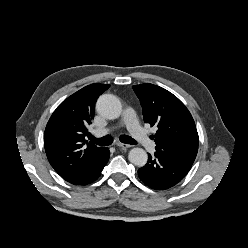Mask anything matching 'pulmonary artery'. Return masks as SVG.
Returning a JSON list of instances; mask_svg holds the SVG:
<instances>
[{
	"mask_svg": "<svg viewBox=\"0 0 248 248\" xmlns=\"http://www.w3.org/2000/svg\"><path fill=\"white\" fill-rule=\"evenodd\" d=\"M123 123L128 128L132 137L150 153L155 151V143L148 137L145 130L139 125L136 119L135 111L127 107L124 111ZM113 128L99 129L95 131L97 136H102L111 132Z\"/></svg>",
	"mask_w": 248,
	"mask_h": 248,
	"instance_id": "e3ab8cb5",
	"label": "pulmonary artery"
}]
</instances>
